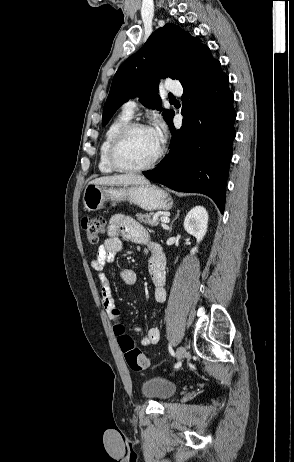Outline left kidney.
Segmentation results:
<instances>
[{"label":"left kidney","instance_id":"1","mask_svg":"<svg viewBox=\"0 0 294 462\" xmlns=\"http://www.w3.org/2000/svg\"><path fill=\"white\" fill-rule=\"evenodd\" d=\"M208 219V213L202 206L194 207L185 217L184 228L189 234L196 238L198 244L203 240L207 232ZM197 251L198 247L195 246L192 248L191 254H195Z\"/></svg>","mask_w":294,"mask_h":462}]
</instances>
